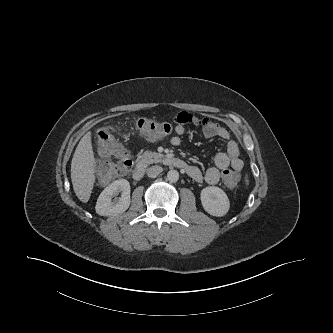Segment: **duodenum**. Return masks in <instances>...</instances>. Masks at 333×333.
Listing matches in <instances>:
<instances>
[{"label":"duodenum","instance_id":"1","mask_svg":"<svg viewBox=\"0 0 333 333\" xmlns=\"http://www.w3.org/2000/svg\"><path fill=\"white\" fill-rule=\"evenodd\" d=\"M161 161L164 165L186 170L188 171L190 169V166L181 158L173 157V156H163L161 158ZM149 160L147 158L140 159L132 172V176L135 180H139L143 177L145 174L146 168L148 166Z\"/></svg>","mask_w":333,"mask_h":333}]
</instances>
